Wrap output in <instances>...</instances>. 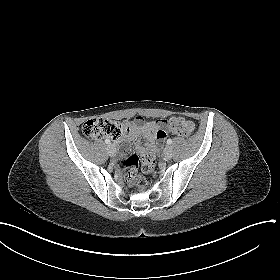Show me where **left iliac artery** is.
Listing matches in <instances>:
<instances>
[{
	"mask_svg": "<svg viewBox=\"0 0 280 280\" xmlns=\"http://www.w3.org/2000/svg\"><path fill=\"white\" fill-rule=\"evenodd\" d=\"M167 144H168V145L172 144V139H168V140H167Z\"/></svg>",
	"mask_w": 280,
	"mask_h": 280,
	"instance_id": "1",
	"label": "left iliac artery"
}]
</instances>
